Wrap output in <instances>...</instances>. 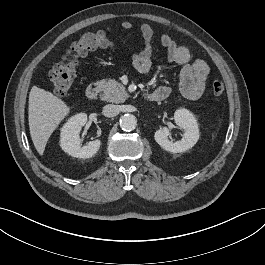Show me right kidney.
Returning <instances> with one entry per match:
<instances>
[{
  "instance_id": "ca27d5eb",
  "label": "right kidney",
  "mask_w": 265,
  "mask_h": 265,
  "mask_svg": "<svg viewBox=\"0 0 265 265\" xmlns=\"http://www.w3.org/2000/svg\"><path fill=\"white\" fill-rule=\"evenodd\" d=\"M86 122L87 115L79 113L72 116L61 129L60 146L62 150L76 158L86 159L94 156L101 145V141L97 139L81 147L79 133Z\"/></svg>"
}]
</instances>
